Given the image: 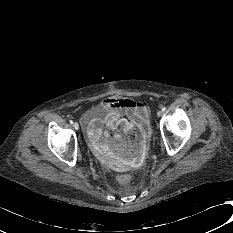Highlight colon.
Returning a JSON list of instances; mask_svg holds the SVG:
<instances>
[{
  "mask_svg": "<svg viewBox=\"0 0 233 233\" xmlns=\"http://www.w3.org/2000/svg\"><path fill=\"white\" fill-rule=\"evenodd\" d=\"M115 128L120 130L121 129L120 123H116ZM117 180L119 183L126 185V184L130 183L131 176L128 174H121L117 177Z\"/></svg>",
  "mask_w": 233,
  "mask_h": 233,
  "instance_id": "colon-1",
  "label": "colon"
}]
</instances>
